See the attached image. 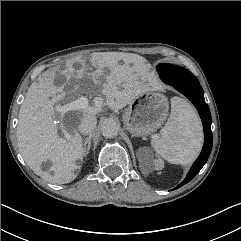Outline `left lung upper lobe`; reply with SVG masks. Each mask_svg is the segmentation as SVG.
Masks as SVG:
<instances>
[{"mask_svg": "<svg viewBox=\"0 0 241 241\" xmlns=\"http://www.w3.org/2000/svg\"><path fill=\"white\" fill-rule=\"evenodd\" d=\"M157 71L160 78L174 83L192 82L197 78L187 69L172 64H159Z\"/></svg>", "mask_w": 241, "mask_h": 241, "instance_id": "obj_1", "label": "left lung upper lobe"}]
</instances>
